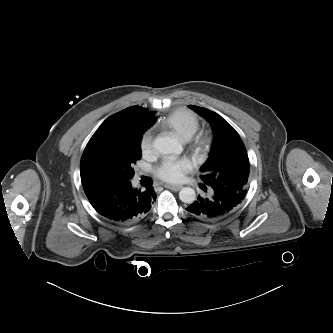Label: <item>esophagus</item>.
Listing matches in <instances>:
<instances>
[{"label":"esophagus","mask_w":333,"mask_h":333,"mask_svg":"<svg viewBox=\"0 0 333 333\" xmlns=\"http://www.w3.org/2000/svg\"><path fill=\"white\" fill-rule=\"evenodd\" d=\"M165 187L173 191H178L182 188L181 185H165Z\"/></svg>","instance_id":"34e87169"}]
</instances>
